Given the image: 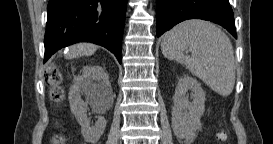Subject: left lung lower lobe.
<instances>
[{"label":"left lung lower lobe","mask_w":273,"mask_h":144,"mask_svg":"<svg viewBox=\"0 0 273 144\" xmlns=\"http://www.w3.org/2000/svg\"><path fill=\"white\" fill-rule=\"evenodd\" d=\"M156 18L158 37L182 21L196 18L217 23L237 38L229 0H157Z\"/></svg>","instance_id":"1"}]
</instances>
